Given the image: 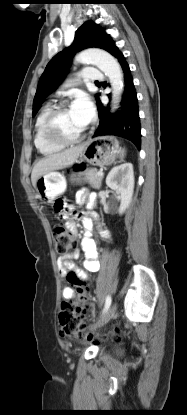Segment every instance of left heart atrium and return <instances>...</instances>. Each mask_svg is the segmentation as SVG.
<instances>
[{
    "instance_id": "left-heart-atrium-1",
    "label": "left heart atrium",
    "mask_w": 187,
    "mask_h": 415,
    "mask_svg": "<svg viewBox=\"0 0 187 415\" xmlns=\"http://www.w3.org/2000/svg\"><path fill=\"white\" fill-rule=\"evenodd\" d=\"M71 109L85 126L94 116L93 104L86 94H79L74 100Z\"/></svg>"
}]
</instances>
